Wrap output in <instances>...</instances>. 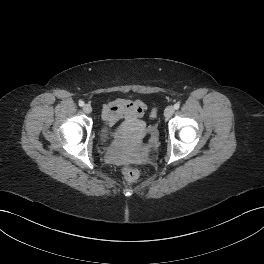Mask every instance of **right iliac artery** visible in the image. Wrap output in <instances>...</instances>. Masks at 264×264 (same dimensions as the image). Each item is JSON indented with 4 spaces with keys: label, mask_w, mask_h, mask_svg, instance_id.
I'll return each mask as SVG.
<instances>
[{
    "label": "right iliac artery",
    "mask_w": 264,
    "mask_h": 264,
    "mask_svg": "<svg viewBox=\"0 0 264 264\" xmlns=\"http://www.w3.org/2000/svg\"><path fill=\"white\" fill-rule=\"evenodd\" d=\"M79 106H84V102L82 100L79 101Z\"/></svg>",
    "instance_id": "right-iliac-artery-1"
}]
</instances>
